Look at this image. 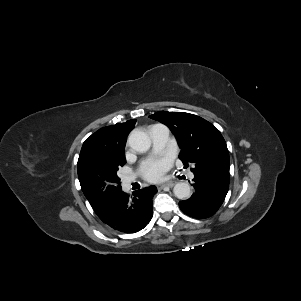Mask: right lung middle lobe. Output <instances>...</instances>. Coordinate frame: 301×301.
<instances>
[{
    "label": "right lung middle lobe",
    "instance_id": "dd1d6c3e",
    "mask_svg": "<svg viewBox=\"0 0 301 301\" xmlns=\"http://www.w3.org/2000/svg\"><path fill=\"white\" fill-rule=\"evenodd\" d=\"M125 163L124 153L97 148L79 156L81 189L96 213L104 212L122 192L117 170Z\"/></svg>",
    "mask_w": 301,
    "mask_h": 301
}]
</instances>
